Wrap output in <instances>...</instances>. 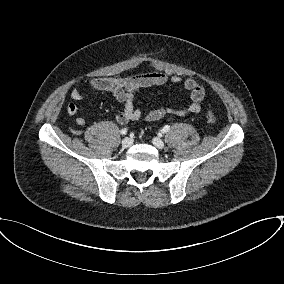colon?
Here are the masks:
<instances>
[{"label": "colon", "instance_id": "obj_1", "mask_svg": "<svg viewBox=\"0 0 284 284\" xmlns=\"http://www.w3.org/2000/svg\"><path fill=\"white\" fill-rule=\"evenodd\" d=\"M206 118H207V121L210 124H215L216 123V118H215L214 114L211 111H207Z\"/></svg>", "mask_w": 284, "mask_h": 284}]
</instances>
